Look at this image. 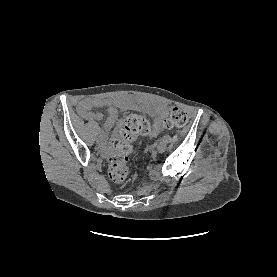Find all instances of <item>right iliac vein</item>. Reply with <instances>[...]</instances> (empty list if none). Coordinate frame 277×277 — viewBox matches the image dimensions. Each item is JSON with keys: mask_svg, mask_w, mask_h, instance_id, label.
I'll use <instances>...</instances> for the list:
<instances>
[{"mask_svg": "<svg viewBox=\"0 0 277 277\" xmlns=\"http://www.w3.org/2000/svg\"><path fill=\"white\" fill-rule=\"evenodd\" d=\"M96 143L98 146H104L106 144V139L104 137H102V138L98 137L96 140Z\"/></svg>", "mask_w": 277, "mask_h": 277, "instance_id": "63e3f726", "label": "right iliac vein"}]
</instances>
